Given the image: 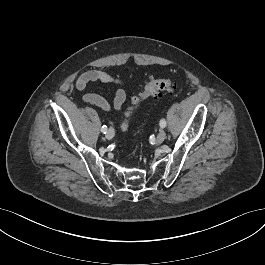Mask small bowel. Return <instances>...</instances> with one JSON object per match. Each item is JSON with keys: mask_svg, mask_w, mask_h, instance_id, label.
<instances>
[{"mask_svg": "<svg viewBox=\"0 0 265 265\" xmlns=\"http://www.w3.org/2000/svg\"><path fill=\"white\" fill-rule=\"evenodd\" d=\"M101 82L114 84L119 88L115 91L112 105L101 95L94 92H87L83 95L84 102L94 105L104 111H109L112 107L121 110L126 101V92L122 88L124 81L103 70H88L82 73L76 80V87L79 90H86L90 83Z\"/></svg>", "mask_w": 265, "mask_h": 265, "instance_id": "c3829d8e", "label": "small bowel"}]
</instances>
